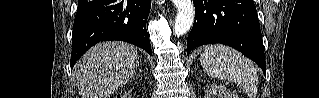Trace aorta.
Returning <instances> with one entry per match:
<instances>
[{
  "label": "aorta",
  "mask_w": 319,
  "mask_h": 98,
  "mask_svg": "<svg viewBox=\"0 0 319 98\" xmlns=\"http://www.w3.org/2000/svg\"><path fill=\"white\" fill-rule=\"evenodd\" d=\"M178 13L175 19L174 34L184 35L189 31L194 20V7L191 0H172Z\"/></svg>",
  "instance_id": "obj_1"
}]
</instances>
